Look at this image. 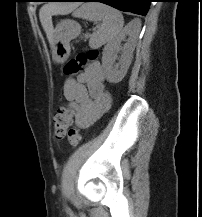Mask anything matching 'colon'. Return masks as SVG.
Segmentation results:
<instances>
[{"mask_svg":"<svg viewBox=\"0 0 202 217\" xmlns=\"http://www.w3.org/2000/svg\"><path fill=\"white\" fill-rule=\"evenodd\" d=\"M98 53L95 50L78 54L75 58L69 60L63 69L66 76H73L81 73L83 68L97 58ZM72 122V111L68 107H61L53 117V132L57 140L68 138L72 146H77L81 141V132L78 128H70Z\"/></svg>","mask_w":202,"mask_h":217,"instance_id":"obj_1","label":"colon"}]
</instances>
